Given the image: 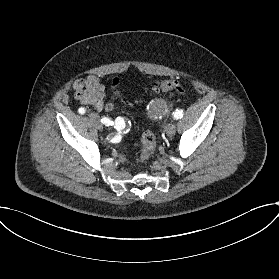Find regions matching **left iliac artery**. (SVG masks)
I'll list each match as a JSON object with an SVG mask.
<instances>
[{"mask_svg": "<svg viewBox=\"0 0 279 279\" xmlns=\"http://www.w3.org/2000/svg\"><path fill=\"white\" fill-rule=\"evenodd\" d=\"M173 116L176 120L181 119L183 117L182 110L177 109L176 111L173 112Z\"/></svg>", "mask_w": 279, "mask_h": 279, "instance_id": "1", "label": "left iliac artery"}]
</instances>
